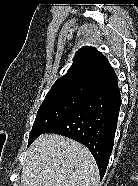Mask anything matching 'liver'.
Returning a JSON list of instances; mask_svg holds the SVG:
<instances>
[{
    "label": "liver",
    "instance_id": "6515ba94",
    "mask_svg": "<svg viewBox=\"0 0 138 186\" xmlns=\"http://www.w3.org/2000/svg\"><path fill=\"white\" fill-rule=\"evenodd\" d=\"M22 186H99L90 151L57 134H43L29 147L21 174Z\"/></svg>",
    "mask_w": 138,
    "mask_h": 186
}]
</instances>
